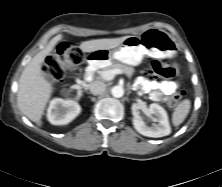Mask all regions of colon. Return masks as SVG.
<instances>
[{"instance_id":"5ec220e1","label":"colon","mask_w":222,"mask_h":187,"mask_svg":"<svg viewBox=\"0 0 222 187\" xmlns=\"http://www.w3.org/2000/svg\"><path fill=\"white\" fill-rule=\"evenodd\" d=\"M82 62V52L69 44L63 43L47 57L44 71L50 80L60 81L64 79L68 72L76 70ZM177 73V67L166 59L152 61L147 71V75L151 78H172L175 77ZM183 97L184 92L178 91L173 94L169 104L176 106Z\"/></svg>"}]
</instances>
